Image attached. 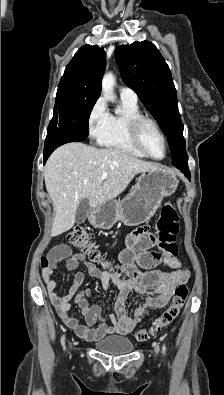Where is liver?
<instances>
[{
	"instance_id": "1",
	"label": "liver",
	"mask_w": 224,
	"mask_h": 395,
	"mask_svg": "<svg viewBox=\"0 0 224 395\" xmlns=\"http://www.w3.org/2000/svg\"><path fill=\"white\" fill-rule=\"evenodd\" d=\"M158 165L138 159L118 149H99L83 143H68L49 157L44 179L55 217L51 236L70 230L82 199L96 208L121 194L138 173ZM107 172L103 182L101 175Z\"/></svg>"
}]
</instances>
